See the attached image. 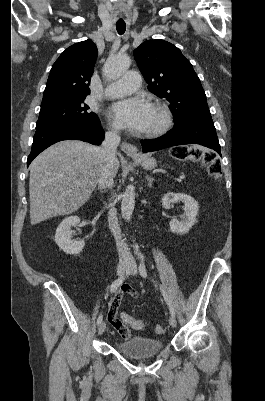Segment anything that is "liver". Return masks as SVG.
Masks as SVG:
<instances>
[{"label": "liver", "mask_w": 265, "mask_h": 401, "mask_svg": "<svg viewBox=\"0 0 265 401\" xmlns=\"http://www.w3.org/2000/svg\"><path fill=\"white\" fill-rule=\"evenodd\" d=\"M102 146L61 140L32 160L29 178L30 223L72 215L87 203L104 170ZM115 158L113 172H118Z\"/></svg>", "instance_id": "liver-1"}]
</instances>
